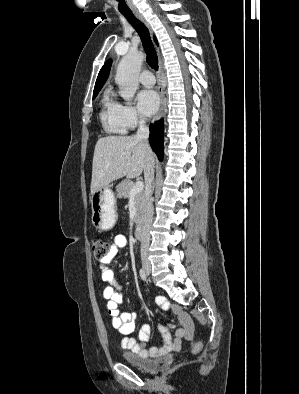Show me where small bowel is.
<instances>
[{"mask_svg":"<svg viewBox=\"0 0 299 394\" xmlns=\"http://www.w3.org/2000/svg\"><path fill=\"white\" fill-rule=\"evenodd\" d=\"M128 244V238L124 235H117L110 246V251L105 260L99 264V273L101 279L110 285L103 290V297L107 300V310L111 316V324L115 330L124 335L121 345L124 349L130 350L132 353L140 355L144 358L160 357L170 352L181 349L183 340H191L194 333V323L191 317L185 313L179 306L171 305L164 297H157L156 303L163 310H170L176 316L180 327L175 331L174 338L169 330V325L161 324L159 329L161 331L164 344L162 347H152L147 349L146 342L148 341L152 328L149 324L141 327L137 342L131 334L135 329V319L137 314L135 312H120L118 305L122 301V295L118 291L119 286L115 280L114 273L109 267V263L118 257L122 248Z\"/></svg>","mask_w":299,"mask_h":394,"instance_id":"c3829d8e","label":"small bowel"}]
</instances>
